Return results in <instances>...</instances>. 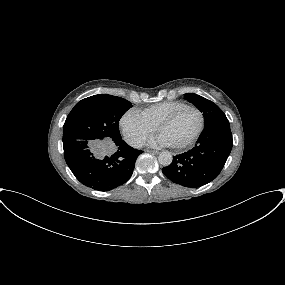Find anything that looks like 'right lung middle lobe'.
<instances>
[{
    "mask_svg": "<svg viewBox=\"0 0 285 285\" xmlns=\"http://www.w3.org/2000/svg\"><path fill=\"white\" fill-rule=\"evenodd\" d=\"M131 107L129 101L112 95H94L81 100L66 118L63 143L121 139L119 120Z\"/></svg>",
    "mask_w": 285,
    "mask_h": 285,
    "instance_id": "1",
    "label": "right lung middle lobe"
}]
</instances>
